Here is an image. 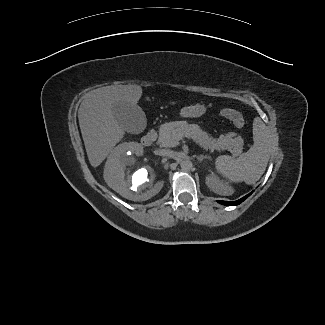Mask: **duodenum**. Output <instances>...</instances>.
Returning a JSON list of instances; mask_svg holds the SVG:
<instances>
[{
    "mask_svg": "<svg viewBox=\"0 0 325 325\" xmlns=\"http://www.w3.org/2000/svg\"><path fill=\"white\" fill-rule=\"evenodd\" d=\"M156 139V132L155 130L148 131L142 136V144L145 146H150Z\"/></svg>",
    "mask_w": 325,
    "mask_h": 325,
    "instance_id": "1",
    "label": "duodenum"
}]
</instances>
